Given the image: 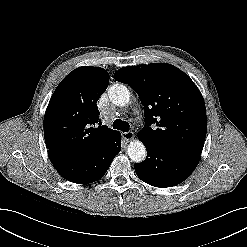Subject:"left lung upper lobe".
<instances>
[{"label": "left lung upper lobe", "instance_id": "obj_1", "mask_svg": "<svg viewBox=\"0 0 247 247\" xmlns=\"http://www.w3.org/2000/svg\"><path fill=\"white\" fill-rule=\"evenodd\" d=\"M114 79L128 84L144 106L146 126L139 132L163 148L201 155L206 137V108L194 82L166 63L123 67Z\"/></svg>", "mask_w": 247, "mask_h": 247}]
</instances>
